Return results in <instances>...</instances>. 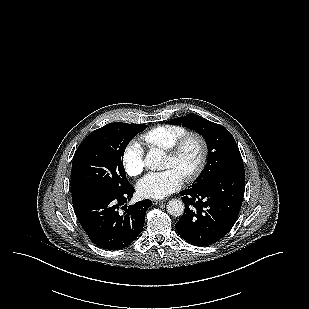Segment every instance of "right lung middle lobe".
I'll return each instance as SVG.
<instances>
[{"label": "right lung middle lobe", "instance_id": "obj_1", "mask_svg": "<svg viewBox=\"0 0 309 309\" xmlns=\"http://www.w3.org/2000/svg\"><path fill=\"white\" fill-rule=\"evenodd\" d=\"M144 124L109 123L93 131L75 152L71 169L72 193L101 189L120 192L130 186L123 154Z\"/></svg>", "mask_w": 309, "mask_h": 309}]
</instances>
